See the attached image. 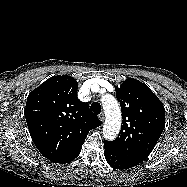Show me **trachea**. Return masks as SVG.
Returning <instances> with one entry per match:
<instances>
[{"label":"trachea","instance_id":"trachea-1","mask_svg":"<svg viewBox=\"0 0 187 187\" xmlns=\"http://www.w3.org/2000/svg\"><path fill=\"white\" fill-rule=\"evenodd\" d=\"M91 111L95 114H100L101 112V105L98 102H94L91 104Z\"/></svg>","mask_w":187,"mask_h":187}]
</instances>
